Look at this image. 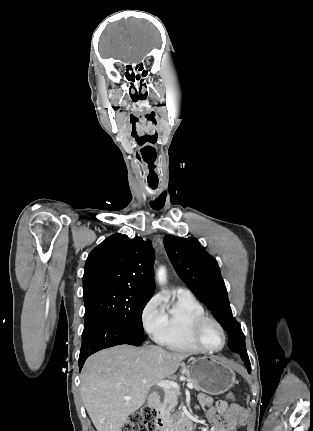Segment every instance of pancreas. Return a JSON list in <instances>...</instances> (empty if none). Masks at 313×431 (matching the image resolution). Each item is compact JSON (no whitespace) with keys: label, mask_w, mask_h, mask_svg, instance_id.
Segmentation results:
<instances>
[{"label":"pancreas","mask_w":313,"mask_h":431,"mask_svg":"<svg viewBox=\"0 0 313 431\" xmlns=\"http://www.w3.org/2000/svg\"><path fill=\"white\" fill-rule=\"evenodd\" d=\"M187 381L193 384V388L195 390H200V386L198 383L190 376V373L186 371ZM178 404V392L175 389H165L164 390V398L161 403L158 405V411L165 416L170 422H173L175 414L174 408ZM181 413H178L180 416Z\"/></svg>","instance_id":"obj_1"}]
</instances>
